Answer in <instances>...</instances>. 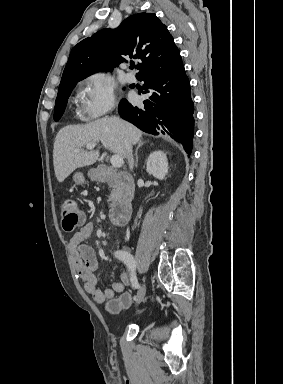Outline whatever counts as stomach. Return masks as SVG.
I'll list each match as a JSON object with an SVG mask.
<instances>
[{"mask_svg": "<svg viewBox=\"0 0 283 384\" xmlns=\"http://www.w3.org/2000/svg\"><path fill=\"white\" fill-rule=\"evenodd\" d=\"M88 176H89V178H93L92 170H90ZM74 180H75L76 184H84L83 174H80V172H79V174H75Z\"/></svg>", "mask_w": 283, "mask_h": 384, "instance_id": "stomach-1", "label": "stomach"}]
</instances>
